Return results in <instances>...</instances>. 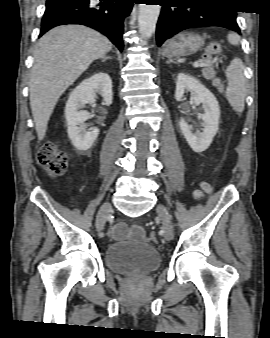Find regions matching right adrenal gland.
Wrapping results in <instances>:
<instances>
[{
	"label": "right adrenal gland",
	"mask_w": 270,
	"mask_h": 338,
	"mask_svg": "<svg viewBox=\"0 0 270 338\" xmlns=\"http://www.w3.org/2000/svg\"><path fill=\"white\" fill-rule=\"evenodd\" d=\"M108 59H112L110 56H104L102 59V62H106Z\"/></svg>",
	"instance_id": "2a0ac1e0"
}]
</instances>
